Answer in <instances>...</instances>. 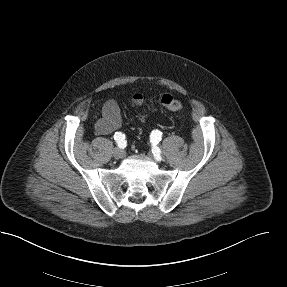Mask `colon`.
I'll return each mask as SVG.
<instances>
[{"label": "colon", "instance_id": "obj_1", "mask_svg": "<svg viewBox=\"0 0 287 287\" xmlns=\"http://www.w3.org/2000/svg\"><path fill=\"white\" fill-rule=\"evenodd\" d=\"M146 101L145 96L136 94L133 96V102L143 104ZM156 102L166 110L174 113H179L183 109L182 102L171 94H161L156 98Z\"/></svg>", "mask_w": 287, "mask_h": 287}]
</instances>
